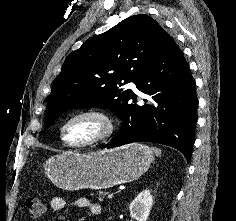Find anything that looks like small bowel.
<instances>
[{
    "mask_svg": "<svg viewBox=\"0 0 236 221\" xmlns=\"http://www.w3.org/2000/svg\"><path fill=\"white\" fill-rule=\"evenodd\" d=\"M65 200L62 197H53L50 200V208L52 211L57 212L65 207ZM74 205L78 208H87L91 215L97 216L102 212V207L99 203L91 202L85 197H79L74 201Z\"/></svg>",
    "mask_w": 236,
    "mask_h": 221,
    "instance_id": "obj_1",
    "label": "small bowel"
}]
</instances>
